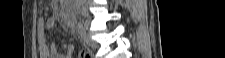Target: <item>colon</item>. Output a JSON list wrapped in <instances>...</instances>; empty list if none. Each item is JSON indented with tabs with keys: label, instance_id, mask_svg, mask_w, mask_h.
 Returning a JSON list of instances; mask_svg holds the SVG:
<instances>
[{
	"label": "colon",
	"instance_id": "colon-1",
	"mask_svg": "<svg viewBox=\"0 0 225 58\" xmlns=\"http://www.w3.org/2000/svg\"><path fill=\"white\" fill-rule=\"evenodd\" d=\"M78 57L79 58H91L92 55H91V52L88 50H81L78 54Z\"/></svg>",
	"mask_w": 225,
	"mask_h": 58
}]
</instances>
